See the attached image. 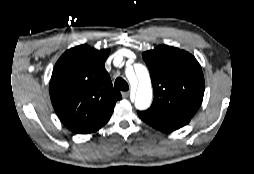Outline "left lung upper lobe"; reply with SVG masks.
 <instances>
[{"label": "left lung upper lobe", "mask_w": 254, "mask_h": 174, "mask_svg": "<svg viewBox=\"0 0 254 174\" xmlns=\"http://www.w3.org/2000/svg\"><path fill=\"white\" fill-rule=\"evenodd\" d=\"M154 100L149 109L163 114L192 118L204 95V76L200 64L190 53L167 45L144 52Z\"/></svg>", "instance_id": "1"}]
</instances>
